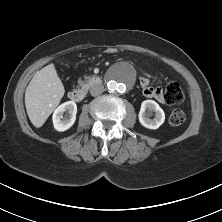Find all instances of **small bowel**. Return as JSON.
Wrapping results in <instances>:
<instances>
[{
  "mask_svg": "<svg viewBox=\"0 0 222 222\" xmlns=\"http://www.w3.org/2000/svg\"><path fill=\"white\" fill-rule=\"evenodd\" d=\"M140 85L142 87L143 94L146 97L153 98L161 103H164V97L161 88L152 86L148 78L141 77Z\"/></svg>",
  "mask_w": 222,
  "mask_h": 222,
  "instance_id": "obj_1",
  "label": "small bowel"
}]
</instances>
